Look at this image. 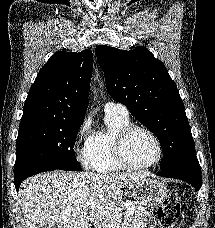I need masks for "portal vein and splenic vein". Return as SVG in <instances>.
<instances>
[{
    "label": "portal vein and splenic vein",
    "instance_id": "portal-vein-and-splenic-vein-1",
    "mask_svg": "<svg viewBox=\"0 0 215 228\" xmlns=\"http://www.w3.org/2000/svg\"><path fill=\"white\" fill-rule=\"evenodd\" d=\"M87 206H89V208H94V206H96L95 198H90V200L87 202ZM128 210H133V206L132 208H128ZM126 216H128V212H126Z\"/></svg>",
    "mask_w": 215,
    "mask_h": 228
}]
</instances>
